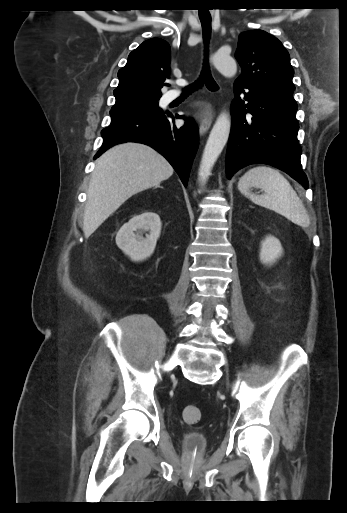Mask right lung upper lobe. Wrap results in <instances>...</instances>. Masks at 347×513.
<instances>
[{
  "mask_svg": "<svg viewBox=\"0 0 347 513\" xmlns=\"http://www.w3.org/2000/svg\"><path fill=\"white\" fill-rule=\"evenodd\" d=\"M170 46L160 38L144 41L128 56L119 70L118 87L114 90L115 105L147 98H160L161 88L170 73Z\"/></svg>",
  "mask_w": 347,
  "mask_h": 513,
  "instance_id": "right-lung-upper-lobe-1",
  "label": "right lung upper lobe"
}]
</instances>
